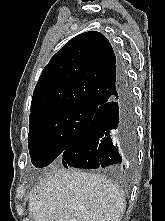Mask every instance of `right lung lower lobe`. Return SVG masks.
<instances>
[{"label":"right lung lower lobe","instance_id":"1","mask_svg":"<svg viewBox=\"0 0 165 221\" xmlns=\"http://www.w3.org/2000/svg\"><path fill=\"white\" fill-rule=\"evenodd\" d=\"M118 79L115 94L98 106L93 119L61 154L66 168L128 171L136 142L133 98L120 69Z\"/></svg>","mask_w":165,"mask_h":221}]
</instances>
